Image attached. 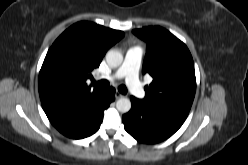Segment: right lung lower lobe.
Returning a JSON list of instances; mask_svg holds the SVG:
<instances>
[{"instance_id": "1", "label": "right lung lower lobe", "mask_w": 248, "mask_h": 165, "mask_svg": "<svg viewBox=\"0 0 248 165\" xmlns=\"http://www.w3.org/2000/svg\"><path fill=\"white\" fill-rule=\"evenodd\" d=\"M115 100V89L110 87L106 89L103 98L93 108L79 116L78 118L55 128L63 135L82 139L94 134L100 127L103 120V112L111 102Z\"/></svg>"}]
</instances>
